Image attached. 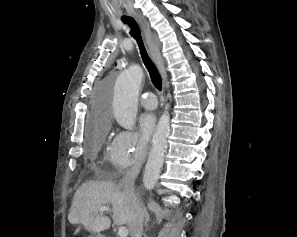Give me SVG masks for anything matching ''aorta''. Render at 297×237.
<instances>
[{
  "label": "aorta",
  "instance_id": "obj_1",
  "mask_svg": "<svg viewBox=\"0 0 297 237\" xmlns=\"http://www.w3.org/2000/svg\"><path fill=\"white\" fill-rule=\"evenodd\" d=\"M143 77L142 67L135 64L122 72L116 80L112 104L113 113L117 123L124 129L133 130L135 128L138 94ZM169 128L170 116L168 113H164L158 122L144 170L143 183L147 190H152L158 181L164 163Z\"/></svg>",
  "mask_w": 297,
  "mask_h": 237
}]
</instances>
